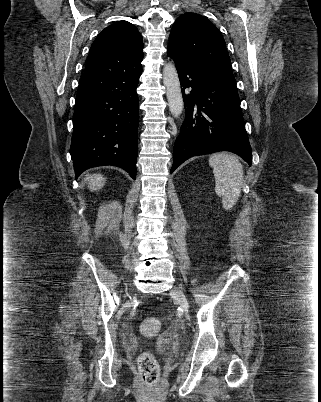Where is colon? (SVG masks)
<instances>
[{
    "label": "colon",
    "mask_w": 321,
    "mask_h": 402,
    "mask_svg": "<svg viewBox=\"0 0 321 402\" xmlns=\"http://www.w3.org/2000/svg\"><path fill=\"white\" fill-rule=\"evenodd\" d=\"M160 323L155 318H146L141 322L140 330L144 335H154ZM138 370L146 384L155 386L160 377V366L151 352H143L138 357Z\"/></svg>",
    "instance_id": "5ec220e1"
}]
</instances>
